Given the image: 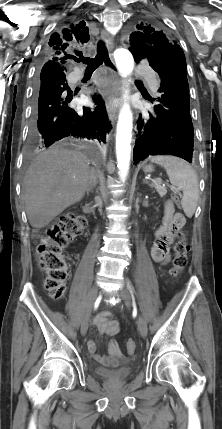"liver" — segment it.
<instances>
[{"label": "liver", "instance_id": "obj_1", "mask_svg": "<svg viewBox=\"0 0 222 429\" xmlns=\"http://www.w3.org/2000/svg\"><path fill=\"white\" fill-rule=\"evenodd\" d=\"M87 156L58 146L39 154L23 181V200L30 225L47 226L66 208L79 202L93 179Z\"/></svg>", "mask_w": 222, "mask_h": 429}]
</instances>
